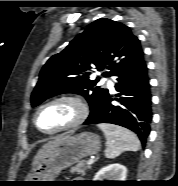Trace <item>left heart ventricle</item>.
Here are the masks:
<instances>
[{"label": "left heart ventricle", "instance_id": "1", "mask_svg": "<svg viewBox=\"0 0 178 186\" xmlns=\"http://www.w3.org/2000/svg\"><path fill=\"white\" fill-rule=\"evenodd\" d=\"M76 107L69 102H57L41 109L37 122L44 131H53L70 123L76 116Z\"/></svg>", "mask_w": 178, "mask_h": 186}]
</instances>
